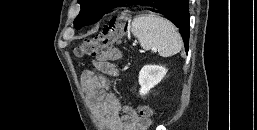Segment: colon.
Instances as JSON below:
<instances>
[{
	"instance_id": "obj_1",
	"label": "colon",
	"mask_w": 257,
	"mask_h": 130,
	"mask_svg": "<svg viewBox=\"0 0 257 130\" xmlns=\"http://www.w3.org/2000/svg\"><path fill=\"white\" fill-rule=\"evenodd\" d=\"M125 24L123 18H114L109 25L96 36L80 43L75 49V55L78 57L93 56L112 43L118 41L124 33ZM138 113L142 119L150 120L153 110L145 105L138 107Z\"/></svg>"
}]
</instances>
